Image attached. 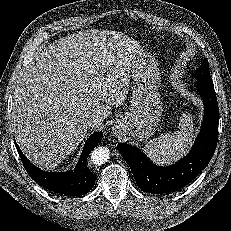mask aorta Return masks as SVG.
I'll use <instances>...</instances> for the list:
<instances>
[{
    "label": "aorta",
    "instance_id": "1",
    "mask_svg": "<svg viewBox=\"0 0 231 231\" xmlns=\"http://www.w3.org/2000/svg\"><path fill=\"white\" fill-rule=\"evenodd\" d=\"M110 156V151L106 147H97L91 153V161L95 165H102L107 162Z\"/></svg>",
    "mask_w": 231,
    "mask_h": 231
}]
</instances>
